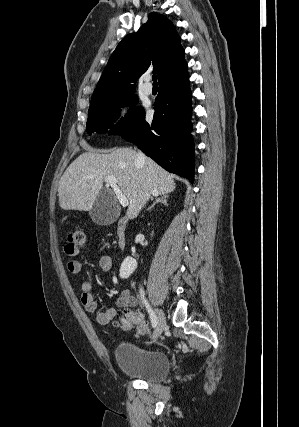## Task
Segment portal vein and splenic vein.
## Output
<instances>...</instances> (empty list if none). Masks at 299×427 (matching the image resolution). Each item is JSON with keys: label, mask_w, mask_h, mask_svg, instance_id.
Wrapping results in <instances>:
<instances>
[{"label": "portal vein and splenic vein", "mask_w": 299, "mask_h": 427, "mask_svg": "<svg viewBox=\"0 0 299 427\" xmlns=\"http://www.w3.org/2000/svg\"><path fill=\"white\" fill-rule=\"evenodd\" d=\"M105 182L107 183V185H110L116 195V197L119 200V203L123 206V207H127L129 202L126 198V196L123 194V192L120 190L119 186L117 185L116 179L112 176H106L105 177Z\"/></svg>", "instance_id": "1"}]
</instances>
